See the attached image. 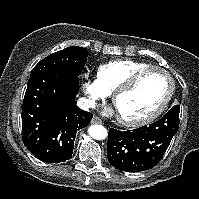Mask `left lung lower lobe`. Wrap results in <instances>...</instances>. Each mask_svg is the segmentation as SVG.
Masks as SVG:
<instances>
[{"label": "left lung lower lobe", "mask_w": 199, "mask_h": 199, "mask_svg": "<svg viewBox=\"0 0 199 199\" xmlns=\"http://www.w3.org/2000/svg\"><path fill=\"white\" fill-rule=\"evenodd\" d=\"M180 106H173L160 120L141 128L119 131L111 128L107 141L108 161L126 172L154 167L163 157L179 128Z\"/></svg>", "instance_id": "obj_1"}]
</instances>
